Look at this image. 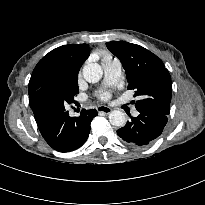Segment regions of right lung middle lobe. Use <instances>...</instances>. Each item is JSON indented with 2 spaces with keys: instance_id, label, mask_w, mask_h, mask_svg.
<instances>
[{
  "instance_id": "dd1d6c3e",
  "label": "right lung middle lobe",
  "mask_w": 205,
  "mask_h": 205,
  "mask_svg": "<svg viewBox=\"0 0 205 205\" xmlns=\"http://www.w3.org/2000/svg\"><path fill=\"white\" fill-rule=\"evenodd\" d=\"M66 86L75 94L78 93L77 76H71L66 80Z\"/></svg>"
}]
</instances>
